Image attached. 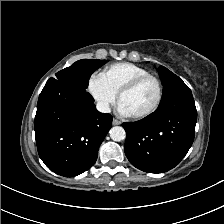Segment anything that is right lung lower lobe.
<instances>
[{"label":"right lung lower lobe","mask_w":224,"mask_h":224,"mask_svg":"<svg viewBox=\"0 0 224 224\" xmlns=\"http://www.w3.org/2000/svg\"><path fill=\"white\" fill-rule=\"evenodd\" d=\"M85 90L46 83L39 95L35 136L40 158L53 172L72 177L93 166L112 116L97 111Z\"/></svg>","instance_id":"1"}]
</instances>
